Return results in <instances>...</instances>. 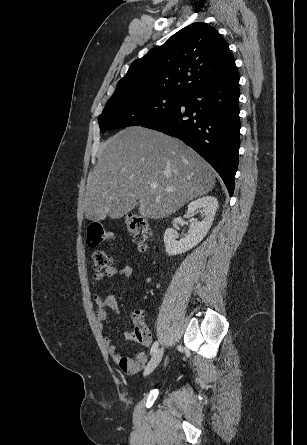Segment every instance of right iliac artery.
I'll return each instance as SVG.
<instances>
[{"mask_svg": "<svg viewBox=\"0 0 307 445\" xmlns=\"http://www.w3.org/2000/svg\"><path fill=\"white\" fill-rule=\"evenodd\" d=\"M157 348H158V342L155 341L151 347L150 354L153 355L157 351Z\"/></svg>", "mask_w": 307, "mask_h": 445, "instance_id": "right-iliac-artery-1", "label": "right iliac artery"}]
</instances>
